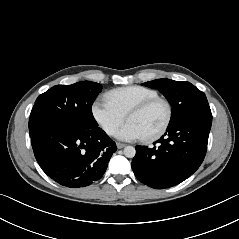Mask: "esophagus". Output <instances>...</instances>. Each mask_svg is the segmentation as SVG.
I'll return each mask as SVG.
<instances>
[{"label": "esophagus", "instance_id": "34e87169", "mask_svg": "<svg viewBox=\"0 0 239 239\" xmlns=\"http://www.w3.org/2000/svg\"><path fill=\"white\" fill-rule=\"evenodd\" d=\"M116 146H117L118 149H122V148H124L126 145L123 144V143H116Z\"/></svg>", "mask_w": 239, "mask_h": 239}]
</instances>
